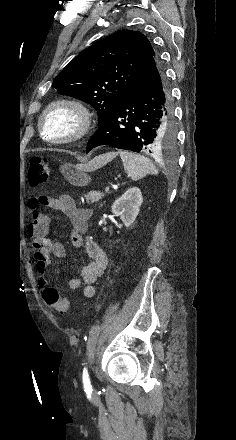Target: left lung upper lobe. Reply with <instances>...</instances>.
<instances>
[{
	"label": "left lung upper lobe",
	"instance_id": "5c2ea615",
	"mask_svg": "<svg viewBox=\"0 0 236 440\" xmlns=\"http://www.w3.org/2000/svg\"><path fill=\"white\" fill-rule=\"evenodd\" d=\"M157 57L138 31L122 30L98 40L76 56L54 79L60 94L91 104L103 124Z\"/></svg>",
	"mask_w": 236,
	"mask_h": 440
}]
</instances>
